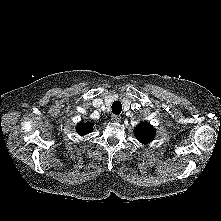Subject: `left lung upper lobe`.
<instances>
[{"instance_id":"5c2ea615","label":"left lung upper lobe","mask_w":221,"mask_h":221,"mask_svg":"<svg viewBox=\"0 0 221 221\" xmlns=\"http://www.w3.org/2000/svg\"><path fill=\"white\" fill-rule=\"evenodd\" d=\"M134 134L139 142L150 143L155 137V129L147 122H142L134 129Z\"/></svg>"}]
</instances>
